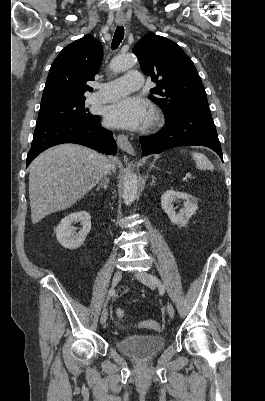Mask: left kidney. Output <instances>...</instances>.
Segmentation results:
<instances>
[{"instance_id":"obj_1","label":"left kidney","mask_w":265,"mask_h":401,"mask_svg":"<svg viewBox=\"0 0 265 401\" xmlns=\"http://www.w3.org/2000/svg\"><path fill=\"white\" fill-rule=\"evenodd\" d=\"M176 198H183L184 209H181L180 213H176L172 203L176 201ZM161 207L164 213H167L171 223L180 225V227H186L190 217L196 213L198 209V198L192 196L189 192H178V190H166L161 196Z\"/></svg>"}]
</instances>
